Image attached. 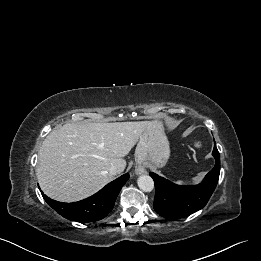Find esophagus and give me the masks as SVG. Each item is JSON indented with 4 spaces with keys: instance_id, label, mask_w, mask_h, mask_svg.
I'll return each mask as SVG.
<instances>
[{
    "instance_id": "34e87169",
    "label": "esophagus",
    "mask_w": 261,
    "mask_h": 261,
    "mask_svg": "<svg viewBox=\"0 0 261 261\" xmlns=\"http://www.w3.org/2000/svg\"><path fill=\"white\" fill-rule=\"evenodd\" d=\"M135 173L137 175H141V174H145L146 173V169L143 165L139 164L135 167Z\"/></svg>"
}]
</instances>
